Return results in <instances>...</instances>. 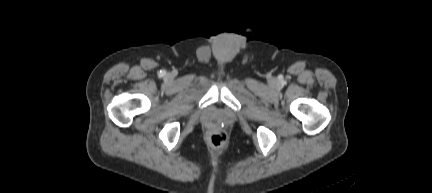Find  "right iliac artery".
Returning a JSON list of instances; mask_svg holds the SVG:
<instances>
[{
    "label": "right iliac artery",
    "instance_id": "82829eb1",
    "mask_svg": "<svg viewBox=\"0 0 432 193\" xmlns=\"http://www.w3.org/2000/svg\"><path fill=\"white\" fill-rule=\"evenodd\" d=\"M161 75H164V72H161Z\"/></svg>",
    "mask_w": 432,
    "mask_h": 193
}]
</instances>
